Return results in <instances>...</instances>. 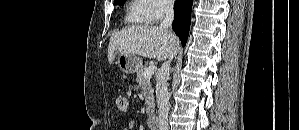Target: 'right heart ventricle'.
Wrapping results in <instances>:
<instances>
[{"instance_id": "right-heart-ventricle-1", "label": "right heart ventricle", "mask_w": 299, "mask_h": 130, "mask_svg": "<svg viewBox=\"0 0 299 130\" xmlns=\"http://www.w3.org/2000/svg\"><path fill=\"white\" fill-rule=\"evenodd\" d=\"M126 21L137 25L150 23L147 18V4L143 0L131 1L126 15Z\"/></svg>"}]
</instances>
